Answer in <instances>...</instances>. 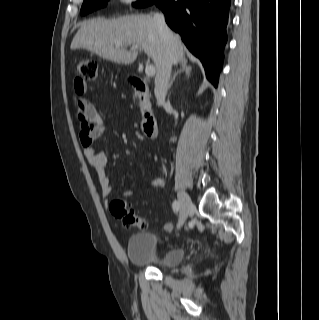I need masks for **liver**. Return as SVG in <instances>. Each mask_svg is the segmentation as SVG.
I'll return each mask as SVG.
<instances>
[{
  "label": "liver",
  "mask_w": 319,
  "mask_h": 320,
  "mask_svg": "<svg viewBox=\"0 0 319 320\" xmlns=\"http://www.w3.org/2000/svg\"><path fill=\"white\" fill-rule=\"evenodd\" d=\"M128 47L131 49L128 50ZM172 47L174 63L185 59L180 36L173 34ZM70 48L85 49L103 59L125 65L132 64L138 56V50H143L155 64V82L165 55V42L154 17L144 14L86 21L74 36Z\"/></svg>",
  "instance_id": "1"
}]
</instances>
